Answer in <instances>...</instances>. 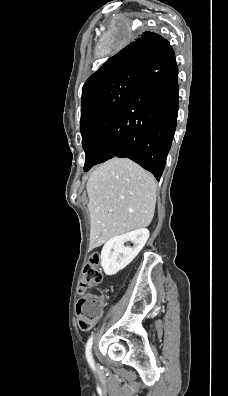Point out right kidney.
<instances>
[{"label": "right kidney", "mask_w": 228, "mask_h": 396, "mask_svg": "<svg viewBox=\"0 0 228 396\" xmlns=\"http://www.w3.org/2000/svg\"><path fill=\"white\" fill-rule=\"evenodd\" d=\"M149 238L146 228L137 229L109 239L101 251V266L106 275H114L129 265ZM133 246H125L126 242Z\"/></svg>", "instance_id": "1"}]
</instances>
